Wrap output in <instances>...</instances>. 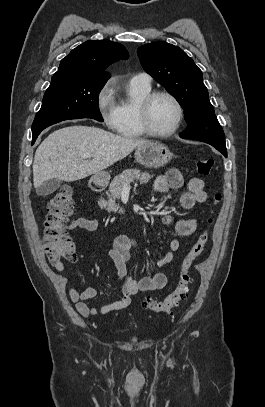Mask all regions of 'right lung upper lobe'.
I'll use <instances>...</instances> for the list:
<instances>
[{
    "instance_id": "right-lung-upper-lobe-1",
    "label": "right lung upper lobe",
    "mask_w": 265,
    "mask_h": 407,
    "mask_svg": "<svg viewBox=\"0 0 265 407\" xmlns=\"http://www.w3.org/2000/svg\"><path fill=\"white\" fill-rule=\"evenodd\" d=\"M125 47L110 40H90L77 46L60 62L54 76L68 75L78 80L107 82L104 70L118 60H126Z\"/></svg>"
}]
</instances>
